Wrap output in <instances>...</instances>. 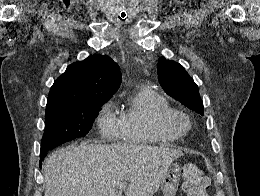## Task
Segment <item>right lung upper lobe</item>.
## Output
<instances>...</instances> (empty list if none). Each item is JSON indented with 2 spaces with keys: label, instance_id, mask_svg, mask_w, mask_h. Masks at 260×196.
I'll use <instances>...</instances> for the list:
<instances>
[{
  "label": "right lung upper lobe",
  "instance_id": "cb5924a9",
  "mask_svg": "<svg viewBox=\"0 0 260 196\" xmlns=\"http://www.w3.org/2000/svg\"><path fill=\"white\" fill-rule=\"evenodd\" d=\"M119 66L108 56L93 55L69 65L50 89L47 106L108 100L121 83Z\"/></svg>",
  "mask_w": 260,
  "mask_h": 196
}]
</instances>
